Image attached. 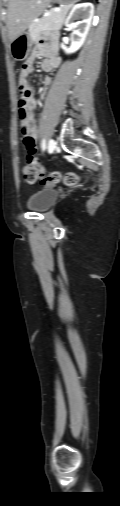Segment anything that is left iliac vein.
I'll use <instances>...</instances> for the list:
<instances>
[{"mask_svg": "<svg viewBox=\"0 0 120 506\" xmlns=\"http://www.w3.org/2000/svg\"><path fill=\"white\" fill-rule=\"evenodd\" d=\"M56 149V141L54 139H50L48 142V151L52 153Z\"/></svg>", "mask_w": 120, "mask_h": 506, "instance_id": "left-iliac-vein-1", "label": "left iliac vein"}]
</instances>
